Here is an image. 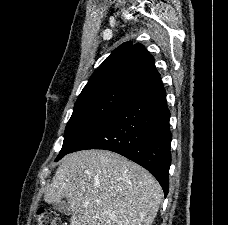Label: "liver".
<instances>
[{"label": "liver", "mask_w": 228, "mask_h": 225, "mask_svg": "<svg viewBox=\"0 0 228 225\" xmlns=\"http://www.w3.org/2000/svg\"><path fill=\"white\" fill-rule=\"evenodd\" d=\"M67 199L70 225H153L163 191L136 163L112 151L66 155L44 193L45 203Z\"/></svg>", "instance_id": "6515ba94"}]
</instances>
